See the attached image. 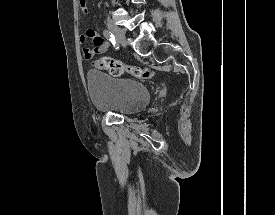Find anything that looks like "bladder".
Here are the masks:
<instances>
[{"label": "bladder", "mask_w": 275, "mask_h": 215, "mask_svg": "<svg viewBox=\"0 0 275 215\" xmlns=\"http://www.w3.org/2000/svg\"><path fill=\"white\" fill-rule=\"evenodd\" d=\"M86 82L93 106L98 110L119 115L135 114L150 101L148 87L135 79L90 70L86 74Z\"/></svg>", "instance_id": "1"}]
</instances>
